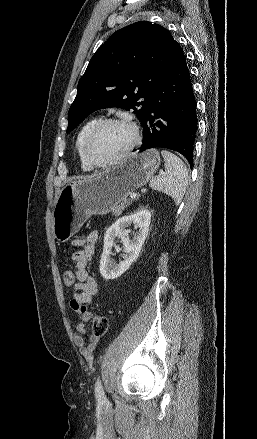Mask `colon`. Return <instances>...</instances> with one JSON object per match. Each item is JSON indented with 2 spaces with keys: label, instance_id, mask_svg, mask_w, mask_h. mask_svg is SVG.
Masks as SVG:
<instances>
[{
  "label": "colon",
  "instance_id": "colon-1",
  "mask_svg": "<svg viewBox=\"0 0 257 439\" xmlns=\"http://www.w3.org/2000/svg\"><path fill=\"white\" fill-rule=\"evenodd\" d=\"M64 284L66 286H74L76 283V278L74 275V272L69 270L66 271L63 275ZM91 324H92V331L94 335L101 337L105 335L109 328L108 320L105 316L98 315L96 313H91Z\"/></svg>",
  "mask_w": 257,
  "mask_h": 439
}]
</instances>
